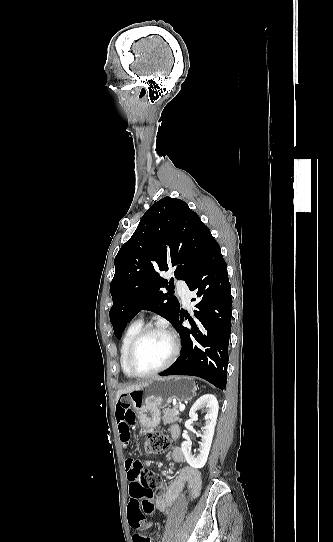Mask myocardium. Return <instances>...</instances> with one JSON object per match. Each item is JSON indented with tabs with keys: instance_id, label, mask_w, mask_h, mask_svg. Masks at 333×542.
Returning a JSON list of instances; mask_svg holds the SVG:
<instances>
[{
	"instance_id": "obj_1",
	"label": "myocardium",
	"mask_w": 333,
	"mask_h": 542,
	"mask_svg": "<svg viewBox=\"0 0 333 542\" xmlns=\"http://www.w3.org/2000/svg\"><path fill=\"white\" fill-rule=\"evenodd\" d=\"M153 333L164 334L169 339V342L171 345L170 355L167 358V360L156 370L150 373H146V374L137 373L134 370L133 364H132L135 350L144 338H146L147 336ZM178 355H179V339L177 335L174 333V331H172L171 329H169L168 327L164 325H159V324L148 325L141 329V331L137 334V336L134 338V340L130 344L128 354H127V370L130 376L132 377L141 378V379L150 378L163 372L167 368H169L176 361Z\"/></svg>"
}]
</instances>
